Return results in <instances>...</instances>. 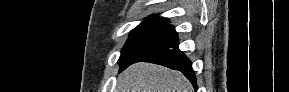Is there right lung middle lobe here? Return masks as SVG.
Wrapping results in <instances>:
<instances>
[{"mask_svg": "<svg viewBox=\"0 0 289 92\" xmlns=\"http://www.w3.org/2000/svg\"><path fill=\"white\" fill-rule=\"evenodd\" d=\"M178 43V36L172 25L145 21L130 32L129 39L118 60L120 71L132 62L153 55Z\"/></svg>", "mask_w": 289, "mask_h": 92, "instance_id": "1", "label": "right lung middle lobe"}]
</instances>
